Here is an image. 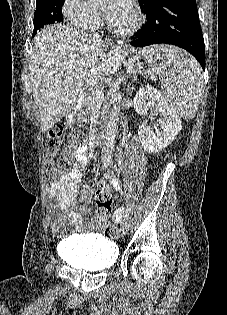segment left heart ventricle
<instances>
[{"label":"left heart ventricle","mask_w":227,"mask_h":315,"mask_svg":"<svg viewBox=\"0 0 227 315\" xmlns=\"http://www.w3.org/2000/svg\"><path fill=\"white\" fill-rule=\"evenodd\" d=\"M108 5H106L107 7ZM110 20V22L116 26L117 28L120 29H127L129 28L133 22H134V16L132 11H129L123 15H119L117 17L114 18H108Z\"/></svg>","instance_id":"obj_1"}]
</instances>
